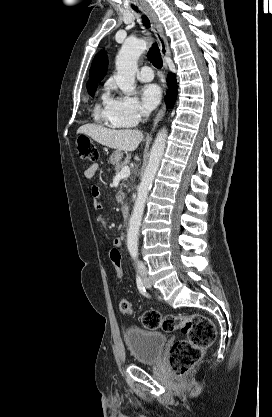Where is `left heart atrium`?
Returning a JSON list of instances; mask_svg holds the SVG:
<instances>
[{
    "instance_id": "39dd6f15",
    "label": "left heart atrium",
    "mask_w": 272,
    "mask_h": 417,
    "mask_svg": "<svg viewBox=\"0 0 272 417\" xmlns=\"http://www.w3.org/2000/svg\"><path fill=\"white\" fill-rule=\"evenodd\" d=\"M162 92L156 84L145 85L142 89V101L146 109H154L161 101Z\"/></svg>"
}]
</instances>
